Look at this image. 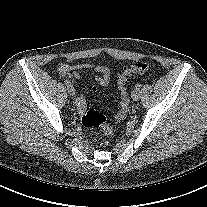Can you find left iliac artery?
I'll return each mask as SVG.
<instances>
[{
    "label": "left iliac artery",
    "mask_w": 207,
    "mask_h": 207,
    "mask_svg": "<svg viewBox=\"0 0 207 207\" xmlns=\"http://www.w3.org/2000/svg\"><path fill=\"white\" fill-rule=\"evenodd\" d=\"M136 88H137V89H140V88H141V84H140V83H137V84H136Z\"/></svg>",
    "instance_id": "left-iliac-artery-1"
}]
</instances>
